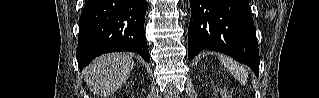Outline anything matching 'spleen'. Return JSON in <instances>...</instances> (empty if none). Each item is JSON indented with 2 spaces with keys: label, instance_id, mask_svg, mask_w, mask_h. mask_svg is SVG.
I'll return each instance as SVG.
<instances>
[{
  "label": "spleen",
  "instance_id": "1",
  "mask_svg": "<svg viewBox=\"0 0 319 98\" xmlns=\"http://www.w3.org/2000/svg\"><path fill=\"white\" fill-rule=\"evenodd\" d=\"M220 60L239 82L245 84L246 71L243 66L228 57L220 56Z\"/></svg>",
  "mask_w": 319,
  "mask_h": 98
}]
</instances>
